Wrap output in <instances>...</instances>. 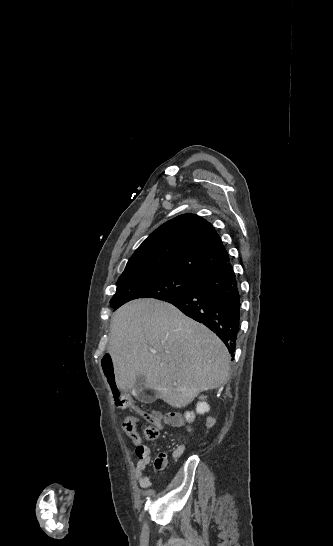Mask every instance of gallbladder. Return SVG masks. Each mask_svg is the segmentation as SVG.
I'll return each instance as SVG.
<instances>
[{
  "label": "gallbladder",
  "instance_id": "1",
  "mask_svg": "<svg viewBox=\"0 0 333 546\" xmlns=\"http://www.w3.org/2000/svg\"><path fill=\"white\" fill-rule=\"evenodd\" d=\"M146 378L144 375H139L137 378H136V382H135V385H134V391L136 393V396L139 400L141 401H147V402H152V397L147 395L145 393V390H146Z\"/></svg>",
  "mask_w": 333,
  "mask_h": 546
}]
</instances>
